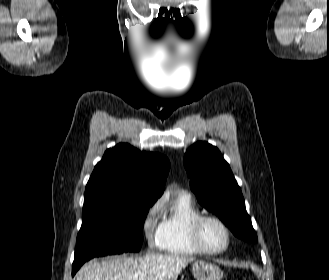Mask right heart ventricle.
<instances>
[{"mask_svg":"<svg viewBox=\"0 0 329 280\" xmlns=\"http://www.w3.org/2000/svg\"><path fill=\"white\" fill-rule=\"evenodd\" d=\"M202 214L188 193H179L167 205L160 249L176 256H197L201 253L190 238V226Z\"/></svg>","mask_w":329,"mask_h":280,"instance_id":"obj_1","label":"right heart ventricle"}]
</instances>
